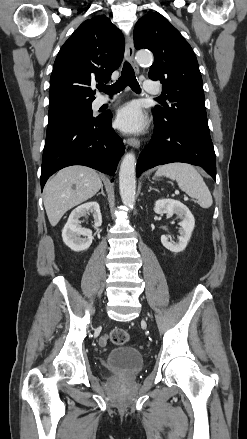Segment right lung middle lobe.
Segmentation results:
<instances>
[{
    "label": "right lung middle lobe",
    "mask_w": 247,
    "mask_h": 439,
    "mask_svg": "<svg viewBox=\"0 0 247 439\" xmlns=\"http://www.w3.org/2000/svg\"><path fill=\"white\" fill-rule=\"evenodd\" d=\"M91 104L92 102H80L49 111L47 131L75 120L95 119Z\"/></svg>",
    "instance_id": "right-lung-middle-lobe-1"
}]
</instances>
